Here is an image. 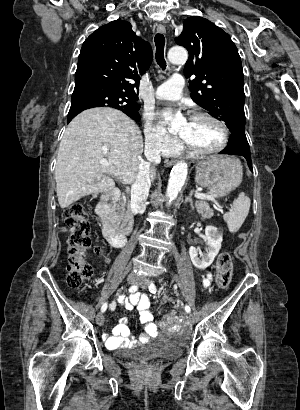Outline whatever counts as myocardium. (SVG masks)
<instances>
[{
    "instance_id": "f54148a6",
    "label": "myocardium",
    "mask_w": 300,
    "mask_h": 410,
    "mask_svg": "<svg viewBox=\"0 0 300 410\" xmlns=\"http://www.w3.org/2000/svg\"><path fill=\"white\" fill-rule=\"evenodd\" d=\"M192 119H208L216 123L220 127L223 133V140L221 144L217 146L216 148H213L210 150H200L194 147L193 145H191L190 143H188L185 139H182L184 146L186 147L188 151H190L192 154L196 156H208V155L219 153L227 146L229 139H230V132H229V128L227 127V125L220 118L210 113H207V112H197L193 115Z\"/></svg>"
}]
</instances>
